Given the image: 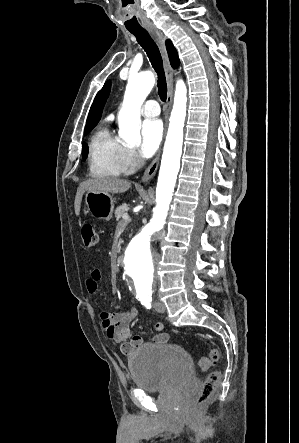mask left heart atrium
I'll list each match as a JSON object with an SVG mask.
<instances>
[{
	"label": "left heart atrium",
	"mask_w": 299,
	"mask_h": 443,
	"mask_svg": "<svg viewBox=\"0 0 299 443\" xmlns=\"http://www.w3.org/2000/svg\"><path fill=\"white\" fill-rule=\"evenodd\" d=\"M163 134V125L161 120L147 119L141 126V144L140 153L143 157H151L157 150Z\"/></svg>",
	"instance_id": "obj_1"
}]
</instances>
